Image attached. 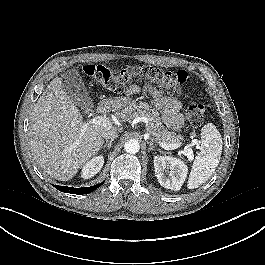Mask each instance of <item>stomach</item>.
Wrapping results in <instances>:
<instances>
[{
    "label": "stomach",
    "instance_id": "obj_1",
    "mask_svg": "<svg viewBox=\"0 0 265 265\" xmlns=\"http://www.w3.org/2000/svg\"><path fill=\"white\" fill-rule=\"evenodd\" d=\"M127 104H128V101H127V100H125V101H124V106L126 107V106H127Z\"/></svg>",
    "mask_w": 265,
    "mask_h": 265
}]
</instances>
